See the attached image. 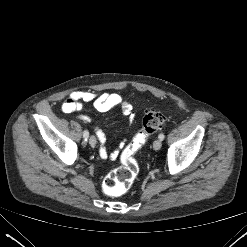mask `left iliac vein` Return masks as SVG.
<instances>
[{"instance_id":"4c4485c4","label":"left iliac vein","mask_w":247,"mask_h":247,"mask_svg":"<svg viewBox=\"0 0 247 247\" xmlns=\"http://www.w3.org/2000/svg\"><path fill=\"white\" fill-rule=\"evenodd\" d=\"M162 147V141L160 139H157L153 143L154 150H159Z\"/></svg>"}]
</instances>
